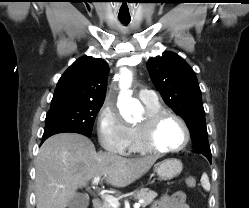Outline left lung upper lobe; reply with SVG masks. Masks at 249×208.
Instances as JSON below:
<instances>
[{"label":"left lung upper lobe","instance_id":"left-lung-upper-lobe-1","mask_svg":"<svg viewBox=\"0 0 249 208\" xmlns=\"http://www.w3.org/2000/svg\"><path fill=\"white\" fill-rule=\"evenodd\" d=\"M147 68L164 102L186 122L193 150L211 154L201 91L192 68L179 55L170 51L150 58Z\"/></svg>","mask_w":249,"mask_h":208}]
</instances>
